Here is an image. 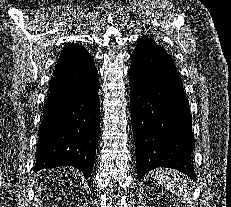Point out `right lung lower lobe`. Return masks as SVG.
<instances>
[{"label":"right lung lower lobe","instance_id":"obj_1","mask_svg":"<svg viewBox=\"0 0 231 207\" xmlns=\"http://www.w3.org/2000/svg\"><path fill=\"white\" fill-rule=\"evenodd\" d=\"M98 72L92 56L74 69L58 64L43 108L36 170L73 166L88 178L100 126Z\"/></svg>","mask_w":231,"mask_h":207}]
</instances>
